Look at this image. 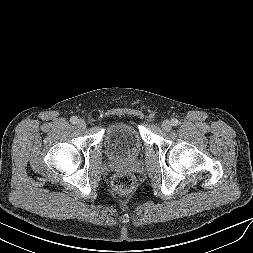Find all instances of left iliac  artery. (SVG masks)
<instances>
[{
	"instance_id": "left-iliac-artery-1",
	"label": "left iliac artery",
	"mask_w": 253,
	"mask_h": 253,
	"mask_svg": "<svg viewBox=\"0 0 253 253\" xmlns=\"http://www.w3.org/2000/svg\"><path fill=\"white\" fill-rule=\"evenodd\" d=\"M171 124H172L173 126H177V125H178V120L175 119V118H173V119L171 120Z\"/></svg>"
}]
</instances>
